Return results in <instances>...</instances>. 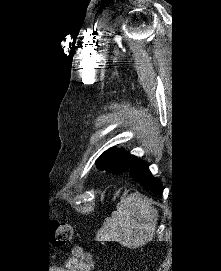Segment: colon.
<instances>
[{
  "label": "colon",
  "instance_id": "obj_1",
  "mask_svg": "<svg viewBox=\"0 0 221 271\" xmlns=\"http://www.w3.org/2000/svg\"><path fill=\"white\" fill-rule=\"evenodd\" d=\"M74 230L69 223H53V240L57 246L67 244L73 238Z\"/></svg>",
  "mask_w": 221,
  "mask_h": 271
}]
</instances>
